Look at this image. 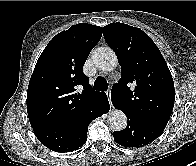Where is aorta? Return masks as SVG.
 Here are the masks:
<instances>
[{
  "instance_id": "aorta-1",
  "label": "aorta",
  "mask_w": 196,
  "mask_h": 166,
  "mask_svg": "<svg viewBox=\"0 0 196 166\" xmlns=\"http://www.w3.org/2000/svg\"><path fill=\"white\" fill-rule=\"evenodd\" d=\"M92 59L95 66L104 71H112L118 65L117 56L110 47L97 48ZM108 122L112 129L121 131L127 126V117L121 110L114 109L109 113Z\"/></svg>"
}]
</instances>
